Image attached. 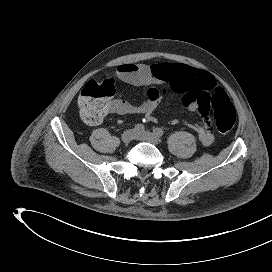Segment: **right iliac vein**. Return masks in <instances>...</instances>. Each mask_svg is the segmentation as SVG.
I'll return each mask as SVG.
<instances>
[{"label": "right iliac vein", "mask_w": 272, "mask_h": 272, "mask_svg": "<svg viewBox=\"0 0 272 272\" xmlns=\"http://www.w3.org/2000/svg\"><path fill=\"white\" fill-rule=\"evenodd\" d=\"M136 134L137 132L134 129H129L126 130L123 134H122V141L124 143H130L132 140H134L136 138Z\"/></svg>", "instance_id": "1"}]
</instances>
